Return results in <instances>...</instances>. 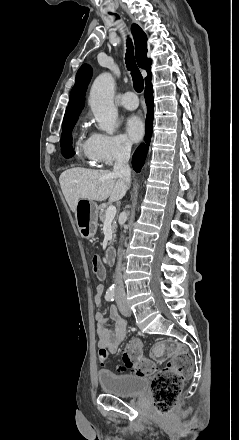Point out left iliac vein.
<instances>
[{"label":"left iliac vein","mask_w":239,"mask_h":440,"mask_svg":"<svg viewBox=\"0 0 239 440\" xmlns=\"http://www.w3.org/2000/svg\"><path fill=\"white\" fill-rule=\"evenodd\" d=\"M118 306H119V310H120L122 315H124V316H130L131 315V310H130L129 306L125 302L118 301Z\"/></svg>","instance_id":"obj_1"}]
</instances>
